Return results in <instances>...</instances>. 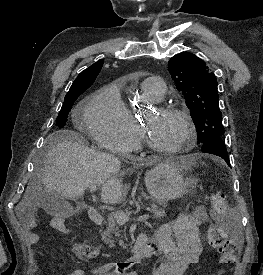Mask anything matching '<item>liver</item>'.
<instances>
[{
  "label": "liver",
  "mask_w": 263,
  "mask_h": 275,
  "mask_svg": "<svg viewBox=\"0 0 263 275\" xmlns=\"http://www.w3.org/2000/svg\"><path fill=\"white\" fill-rule=\"evenodd\" d=\"M50 149L47 152L41 175L44 192H58L68 199H76L90 186L101 185V200L116 204L127 195L122 181L118 179L121 161L112 154L100 153L86 146L81 136L71 130H61L50 136ZM193 159L183 157L177 165L188 164ZM39 195L32 194L29 186L20 208L35 207Z\"/></svg>",
  "instance_id": "liver-1"
}]
</instances>
